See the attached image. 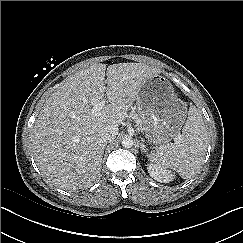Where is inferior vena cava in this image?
Segmentation results:
<instances>
[{
    "instance_id": "602c4592",
    "label": "inferior vena cava",
    "mask_w": 243,
    "mask_h": 243,
    "mask_svg": "<svg viewBox=\"0 0 243 243\" xmlns=\"http://www.w3.org/2000/svg\"><path fill=\"white\" fill-rule=\"evenodd\" d=\"M118 134V127L115 125H109L104 128L101 133V140L104 144L112 142Z\"/></svg>"
}]
</instances>
